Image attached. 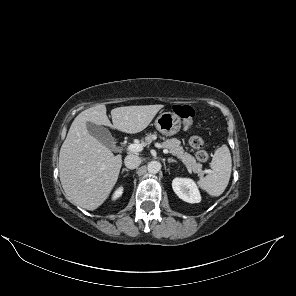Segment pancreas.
I'll list each match as a JSON object with an SVG mask.
<instances>
[{"label":"pancreas","mask_w":296,"mask_h":296,"mask_svg":"<svg viewBox=\"0 0 296 296\" xmlns=\"http://www.w3.org/2000/svg\"><path fill=\"white\" fill-rule=\"evenodd\" d=\"M154 136L155 135L149 134L145 138V140L142 141V144L146 145L148 143H151ZM162 147L168 149L172 155L181 160L188 170H191L194 173H198L200 176L203 174L202 164L198 163L192 155L184 151L178 139H167L162 143Z\"/></svg>","instance_id":"1"}]
</instances>
